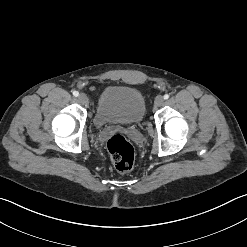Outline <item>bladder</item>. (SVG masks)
I'll use <instances>...</instances> for the list:
<instances>
[{
    "label": "bladder",
    "mask_w": 247,
    "mask_h": 247,
    "mask_svg": "<svg viewBox=\"0 0 247 247\" xmlns=\"http://www.w3.org/2000/svg\"><path fill=\"white\" fill-rule=\"evenodd\" d=\"M145 99L136 88L109 85L100 93L94 115L98 127L116 124H139L145 116Z\"/></svg>",
    "instance_id": "bladder-1"
}]
</instances>
